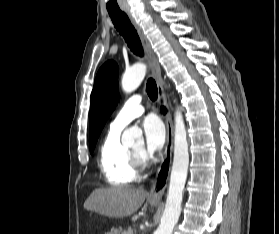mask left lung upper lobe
Here are the masks:
<instances>
[{
  "label": "left lung upper lobe",
  "mask_w": 279,
  "mask_h": 234,
  "mask_svg": "<svg viewBox=\"0 0 279 234\" xmlns=\"http://www.w3.org/2000/svg\"><path fill=\"white\" fill-rule=\"evenodd\" d=\"M118 66L113 61L106 62L98 71L91 93L90 105V152L92 153L106 120L118 101Z\"/></svg>",
  "instance_id": "obj_1"
}]
</instances>
